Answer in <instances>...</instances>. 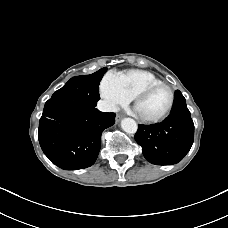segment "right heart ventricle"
I'll return each instance as SVG.
<instances>
[{
    "label": "right heart ventricle",
    "mask_w": 228,
    "mask_h": 228,
    "mask_svg": "<svg viewBox=\"0 0 228 228\" xmlns=\"http://www.w3.org/2000/svg\"><path fill=\"white\" fill-rule=\"evenodd\" d=\"M117 78L125 93L133 98L137 92L149 84L162 81L152 72L141 69H130L117 74Z\"/></svg>",
    "instance_id": "1"
}]
</instances>
